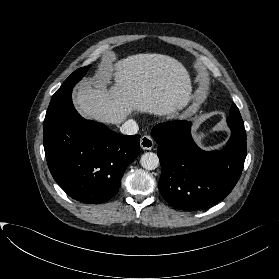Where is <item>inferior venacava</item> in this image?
Masks as SVG:
<instances>
[{"instance_id":"obj_1","label":"inferior vena cava","mask_w":279,"mask_h":279,"mask_svg":"<svg viewBox=\"0 0 279 279\" xmlns=\"http://www.w3.org/2000/svg\"><path fill=\"white\" fill-rule=\"evenodd\" d=\"M138 130H139V127H138L137 123L132 119L127 120L120 127L121 133L126 134V135H134L138 132Z\"/></svg>"}]
</instances>
